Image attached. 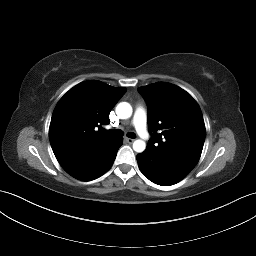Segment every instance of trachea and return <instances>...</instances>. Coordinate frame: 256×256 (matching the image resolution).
I'll return each mask as SVG.
<instances>
[{
    "label": "trachea",
    "instance_id": "1",
    "mask_svg": "<svg viewBox=\"0 0 256 256\" xmlns=\"http://www.w3.org/2000/svg\"><path fill=\"white\" fill-rule=\"evenodd\" d=\"M112 133H113L114 135H123V131L120 130V129H115V130L112 131ZM127 136H128L129 138H135V137H136V135H135L134 132H129V133L127 134Z\"/></svg>",
    "mask_w": 256,
    "mask_h": 256
}]
</instances>
